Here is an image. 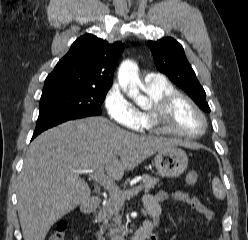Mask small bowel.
Listing matches in <instances>:
<instances>
[{"label":"small bowel","instance_id":"small-bowel-1","mask_svg":"<svg viewBox=\"0 0 248 240\" xmlns=\"http://www.w3.org/2000/svg\"><path fill=\"white\" fill-rule=\"evenodd\" d=\"M176 201L191 206L195 211L202 215L208 221H214L215 215L212 210L202 204L197 198L191 196L185 191L159 192L155 195L146 194L142 198V203L148 215L151 218L149 221L153 226L160 222L162 214V203L166 201ZM150 240H159L155 233H152Z\"/></svg>","mask_w":248,"mask_h":240}]
</instances>
